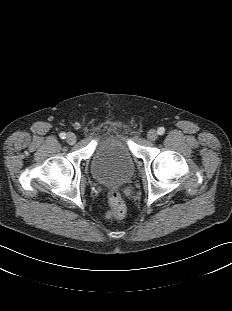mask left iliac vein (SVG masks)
Segmentation results:
<instances>
[{"label": "left iliac vein", "mask_w": 232, "mask_h": 311, "mask_svg": "<svg viewBox=\"0 0 232 311\" xmlns=\"http://www.w3.org/2000/svg\"><path fill=\"white\" fill-rule=\"evenodd\" d=\"M147 138L149 141L154 142L158 138V132L154 129L150 130L147 134Z\"/></svg>", "instance_id": "obj_1"}]
</instances>
